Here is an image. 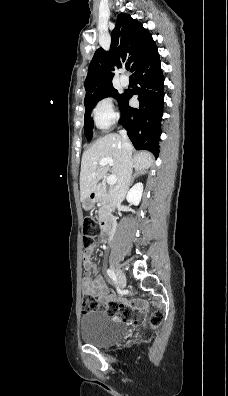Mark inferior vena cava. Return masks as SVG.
<instances>
[{
    "mask_svg": "<svg viewBox=\"0 0 228 396\" xmlns=\"http://www.w3.org/2000/svg\"><path fill=\"white\" fill-rule=\"evenodd\" d=\"M120 135L123 142V154L119 178L112 191V203L114 209L117 202L122 200L127 193L131 183L132 175V146L130 144L126 130H121Z\"/></svg>",
    "mask_w": 228,
    "mask_h": 396,
    "instance_id": "602c4592",
    "label": "inferior vena cava"
}]
</instances>
